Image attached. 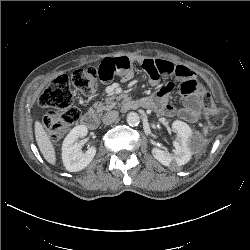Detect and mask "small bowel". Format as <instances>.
<instances>
[{
  "label": "small bowel",
  "instance_id": "1",
  "mask_svg": "<svg viewBox=\"0 0 250 250\" xmlns=\"http://www.w3.org/2000/svg\"><path fill=\"white\" fill-rule=\"evenodd\" d=\"M141 66L149 74L152 85L159 83L160 77H174L179 81V92L183 97V107L178 111L169 103L173 84L166 83L160 90L149 97L140 99V106L155 109L160 114L172 116L178 114L183 120L195 123L200 118V106L204 92L202 84L190 68L166 60L144 59ZM99 79L108 82L119 76L129 81L133 76V62L126 56L106 58L98 67Z\"/></svg>",
  "mask_w": 250,
  "mask_h": 250
}]
</instances>
